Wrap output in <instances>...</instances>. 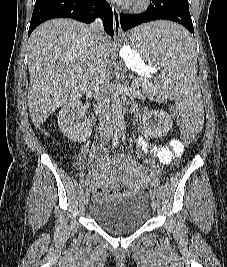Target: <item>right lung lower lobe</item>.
I'll return each instance as SVG.
<instances>
[{"instance_id":"1","label":"right lung lower lobe","mask_w":227,"mask_h":267,"mask_svg":"<svg viewBox=\"0 0 227 267\" xmlns=\"http://www.w3.org/2000/svg\"><path fill=\"white\" fill-rule=\"evenodd\" d=\"M97 17L103 20L105 32L113 36V13L106 0H36L28 36L49 19L72 18L92 23Z\"/></svg>"}]
</instances>
